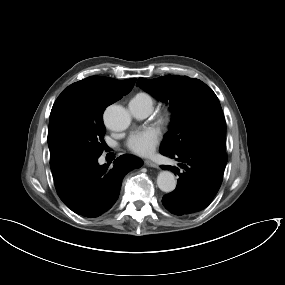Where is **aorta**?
Masks as SVG:
<instances>
[{
  "mask_svg": "<svg viewBox=\"0 0 285 285\" xmlns=\"http://www.w3.org/2000/svg\"><path fill=\"white\" fill-rule=\"evenodd\" d=\"M104 121L107 127L114 131H123L131 123L129 112L120 105L109 106L104 113ZM176 179L172 172L161 171L157 177V185L163 192L170 193L176 188Z\"/></svg>",
  "mask_w": 285,
  "mask_h": 285,
  "instance_id": "aorta-1",
  "label": "aorta"
}]
</instances>
